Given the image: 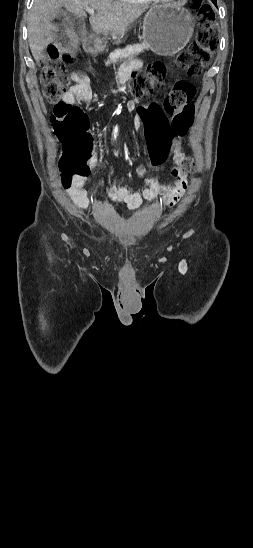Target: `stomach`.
<instances>
[{"label": "stomach", "mask_w": 253, "mask_h": 548, "mask_svg": "<svg viewBox=\"0 0 253 548\" xmlns=\"http://www.w3.org/2000/svg\"><path fill=\"white\" fill-rule=\"evenodd\" d=\"M193 30V17L186 9L174 4L156 5L144 17L142 38L153 52L170 56L187 45ZM115 43H120V40ZM89 50L102 52L104 46L101 42H94Z\"/></svg>", "instance_id": "1"}]
</instances>
